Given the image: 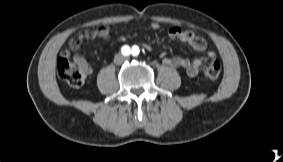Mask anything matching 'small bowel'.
<instances>
[{
	"label": "small bowel",
	"instance_id": "obj_1",
	"mask_svg": "<svg viewBox=\"0 0 283 162\" xmlns=\"http://www.w3.org/2000/svg\"><path fill=\"white\" fill-rule=\"evenodd\" d=\"M150 28L154 31H159L161 26L157 22L150 23ZM110 29L107 25H101L94 31H80L78 32L70 41L69 48L72 51L79 49L82 41L87 38H100L109 39ZM167 35L173 40H178L180 42L190 45L196 51H204L207 48V43L204 38L196 35L193 31L183 30L179 27L172 26L167 29ZM144 48L151 50V46L144 44ZM209 55V54H208ZM61 56L69 57V51L62 52ZM205 59V58H204ZM204 59H193L174 56V57H164V64L173 67L183 69L188 76L194 77L199 73V70L203 64ZM74 60L76 62L86 63L83 57L75 56Z\"/></svg>",
	"mask_w": 283,
	"mask_h": 162
}]
</instances>
